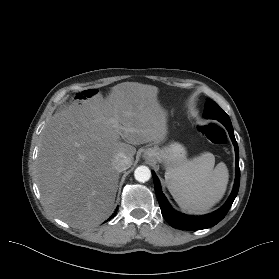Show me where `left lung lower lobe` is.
Instances as JSON below:
<instances>
[{
	"label": "left lung lower lobe",
	"mask_w": 279,
	"mask_h": 279,
	"mask_svg": "<svg viewBox=\"0 0 279 279\" xmlns=\"http://www.w3.org/2000/svg\"><path fill=\"white\" fill-rule=\"evenodd\" d=\"M222 124L228 130V133L231 137V140L234 144L235 153H236V178L232 193L227 200V202L217 211L204 215V216H187L180 214L173 210L169 205L168 201L166 200L165 196L162 193L161 186L159 183L158 178L153 173L154 185H155V192L157 195V199L161 208V213L165 220L174 228L181 229V230H201L210 228L220 222L227 212L229 211L234 199L237 196L239 183H240V169H239V150L238 145L234 136L233 127L230 122H222Z\"/></svg>",
	"instance_id": "0a47b994"
}]
</instances>
